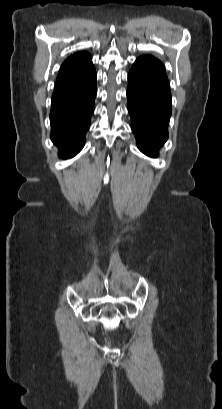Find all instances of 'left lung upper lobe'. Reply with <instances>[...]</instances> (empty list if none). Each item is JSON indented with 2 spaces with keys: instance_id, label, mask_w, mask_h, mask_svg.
Listing matches in <instances>:
<instances>
[{
  "instance_id": "5c2ea615",
  "label": "left lung upper lobe",
  "mask_w": 222,
  "mask_h": 409,
  "mask_svg": "<svg viewBox=\"0 0 222 409\" xmlns=\"http://www.w3.org/2000/svg\"><path fill=\"white\" fill-rule=\"evenodd\" d=\"M132 69L168 81L164 65L153 56L139 57L132 65Z\"/></svg>"
}]
</instances>
